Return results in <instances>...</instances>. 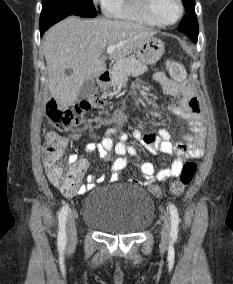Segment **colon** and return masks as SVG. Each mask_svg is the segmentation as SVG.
<instances>
[{"label":"colon","mask_w":233,"mask_h":284,"mask_svg":"<svg viewBox=\"0 0 233 284\" xmlns=\"http://www.w3.org/2000/svg\"><path fill=\"white\" fill-rule=\"evenodd\" d=\"M167 68L175 81H183L185 79V69L179 62L169 60ZM104 104V99L98 95L91 96L70 108H61L55 100H51L47 104L46 117L54 130L49 131L45 136L43 160L51 167L57 187L65 195H73L78 192L82 175L79 172L64 171L59 166V158L66 145V139L61 133L80 125L87 112L92 109H99ZM196 171L197 164L195 162H185L178 179L170 186L172 194H182L185 188L192 182ZM149 192L156 198L161 196V190L156 185L149 186Z\"/></svg>","instance_id":"obj_1"}]
</instances>
